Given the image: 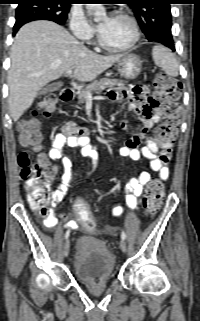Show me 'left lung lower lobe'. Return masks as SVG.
Instances as JSON below:
<instances>
[{
	"instance_id": "left-lung-lower-lobe-1",
	"label": "left lung lower lobe",
	"mask_w": 200,
	"mask_h": 321,
	"mask_svg": "<svg viewBox=\"0 0 200 321\" xmlns=\"http://www.w3.org/2000/svg\"><path fill=\"white\" fill-rule=\"evenodd\" d=\"M159 43H162L163 45L171 48L173 51L175 50L173 39H165L160 41Z\"/></svg>"
}]
</instances>
